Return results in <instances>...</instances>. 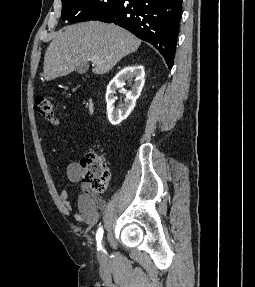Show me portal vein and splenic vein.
<instances>
[{
    "mask_svg": "<svg viewBox=\"0 0 255 287\" xmlns=\"http://www.w3.org/2000/svg\"><path fill=\"white\" fill-rule=\"evenodd\" d=\"M90 62H93V64H99V60L98 58H89ZM89 60H87V62H89Z\"/></svg>",
    "mask_w": 255,
    "mask_h": 287,
    "instance_id": "18ae733b",
    "label": "portal vein and splenic vein"
}]
</instances>
